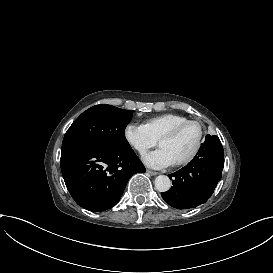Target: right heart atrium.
I'll return each instance as SVG.
<instances>
[{"label":"right heart atrium","mask_w":273,"mask_h":273,"mask_svg":"<svg viewBox=\"0 0 273 273\" xmlns=\"http://www.w3.org/2000/svg\"><path fill=\"white\" fill-rule=\"evenodd\" d=\"M125 138L140 155L157 144V140L144 124L129 123L125 128Z\"/></svg>","instance_id":"right-heart-atrium-1"}]
</instances>
